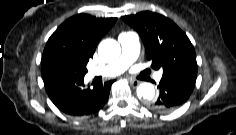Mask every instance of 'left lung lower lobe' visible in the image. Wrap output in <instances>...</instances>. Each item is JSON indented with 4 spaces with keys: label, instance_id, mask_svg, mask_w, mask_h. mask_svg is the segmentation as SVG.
<instances>
[{
    "label": "left lung lower lobe",
    "instance_id": "0a47b994",
    "mask_svg": "<svg viewBox=\"0 0 236 135\" xmlns=\"http://www.w3.org/2000/svg\"><path fill=\"white\" fill-rule=\"evenodd\" d=\"M196 77L197 70L164 73L159 83L160 95L150 107L158 112H170L180 107L189 99Z\"/></svg>",
    "mask_w": 236,
    "mask_h": 135
}]
</instances>
